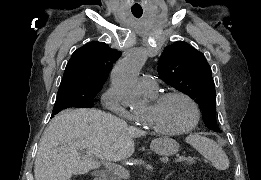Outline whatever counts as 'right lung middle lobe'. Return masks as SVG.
<instances>
[{
	"label": "right lung middle lobe",
	"instance_id": "obj_1",
	"mask_svg": "<svg viewBox=\"0 0 261 180\" xmlns=\"http://www.w3.org/2000/svg\"><path fill=\"white\" fill-rule=\"evenodd\" d=\"M100 90L101 88L86 86L59 88L52 116L69 107L91 108L94 104V98Z\"/></svg>",
	"mask_w": 261,
	"mask_h": 180
}]
</instances>
